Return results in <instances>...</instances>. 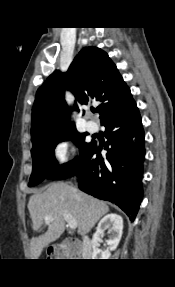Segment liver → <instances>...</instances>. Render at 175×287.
<instances>
[{"label": "liver", "instance_id": "6515ba94", "mask_svg": "<svg viewBox=\"0 0 175 287\" xmlns=\"http://www.w3.org/2000/svg\"><path fill=\"white\" fill-rule=\"evenodd\" d=\"M33 230L38 231L44 223L47 231L30 242L32 259H38L44 248L55 241L65 230L64 214H69L78 226V234H87L98 220L109 212L106 203L93 198L64 182L52 183L42 193L33 194L28 202ZM50 216L51 221L45 222Z\"/></svg>", "mask_w": 175, "mask_h": 287}]
</instances>
